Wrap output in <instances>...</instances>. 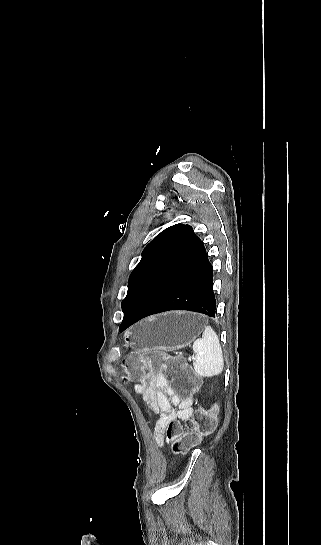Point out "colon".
Segmentation results:
<instances>
[{"label": "colon", "mask_w": 321, "mask_h": 545, "mask_svg": "<svg viewBox=\"0 0 321 545\" xmlns=\"http://www.w3.org/2000/svg\"><path fill=\"white\" fill-rule=\"evenodd\" d=\"M127 380L142 379L145 376L171 379V389L181 398H191L198 389L199 380L192 369L180 357H165L158 352L148 351L130 355L125 359ZM216 409L198 411L185 430L175 420L170 421L164 431L167 444L177 455L186 454L196 446L203 436L211 434L215 428Z\"/></svg>", "instance_id": "5ec220e1"}]
</instances>
